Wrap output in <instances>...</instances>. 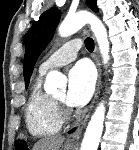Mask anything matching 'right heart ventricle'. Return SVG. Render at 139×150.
<instances>
[{
  "label": "right heart ventricle",
  "mask_w": 139,
  "mask_h": 150,
  "mask_svg": "<svg viewBox=\"0 0 139 150\" xmlns=\"http://www.w3.org/2000/svg\"><path fill=\"white\" fill-rule=\"evenodd\" d=\"M41 76L33 84L25 109L28 131L34 136H47L57 133L63 124L52 96L41 86Z\"/></svg>",
  "instance_id": "1"
}]
</instances>
